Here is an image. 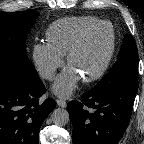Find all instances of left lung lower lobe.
Here are the masks:
<instances>
[{
	"instance_id": "1",
	"label": "left lung lower lobe",
	"mask_w": 144,
	"mask_h": 144,
	"mask_svg": "<svg viewBox=\"0 0 144 144\" xmlns=\"http://www.w3.org/2000/svg\"><path fill=\"white\" fill-rule=\"evenodd\" d=\"M138 83L113 89L93 87L68 103L74 144H117L132 113Z\"/></svg>"
}]
</instances>
